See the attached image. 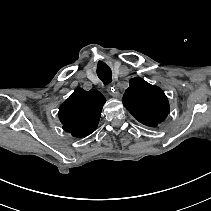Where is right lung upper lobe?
I'll use <instances>...</instances> for the list:
<instances>
[{
	"label": "right lung upper lobe",
	"instance_id": "obj_1",
	"mask_svg": "<svg viewBox=\"0 0 211 211\" xmlns=\"http://www.w3.org/2000/svg\"><path fill=\"white\" fill-rule=\"evenodd\" d=\"M105 101L104 96L95 89L85 91L77 88L59 108L63 129L79 138L91 134L98 125Z\"/></svg>",
	"mask_w": 211,
	"mask_h": 211
}]
</instances>
